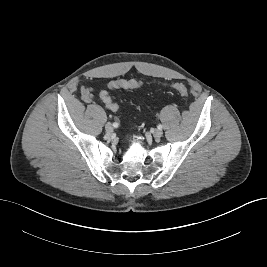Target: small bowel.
Segmentation results:
<instances>
[{
    "instance_id": "c3829d8e",
    "label": "small bowel",
    "mask_w": 267,
    "mask_h": 267,
    "mask_svg": "<svg viewBox=\"0 0 267 267\" xmlns=\"http://www.w3.org/2000/svg\"><path fill=\"white\" fill-rule=\"evenodd\" d=\"M82 98L85 102H91L93 100V94L91 89L83 88L82 89Z\"/></svg>"
}]
</instances>
